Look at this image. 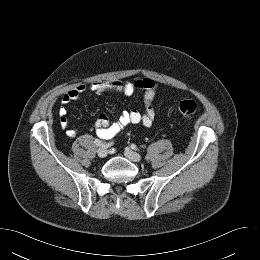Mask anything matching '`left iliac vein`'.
Returning <instances> with one entry per match:
<instances>
[{"label": "left iliac vein", "mask_w": 260, "mask_h": 260, "mask_svg": "<svg viewBox=\"0 0 260 260\" xmlns=\"http://www.w3.org/2000/svg\"><path fill=\"white\" fill-rule=\"evenodd\" d=\"M124 155H125L130 161H133V162H139V161H141V159H142L141 155H139L138 153H136V152L130 150L129 148L125 149Z\"/></svg>", "instance_id": "left-iliac-vein-1"}]
</instances>
